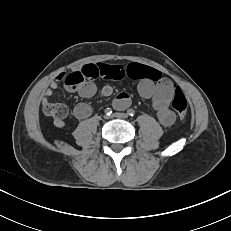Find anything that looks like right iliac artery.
I'll list each match as a JSON object with an SVG mask.
<instances>
[{"instance_id": "1", "label": "right iliac artery", "mask_w": 231, "mask_h": 231, "mask_svg": "<svg viewBox=\"0 0 231 231\" xmlns=\"http://www.w3.org/2000/svg\"><path fill=\"white\" fill-rule=\"evenodd\" d=\"M105 113H106L107 115H110V114L112 113V109H111V108H106V109H105Z\"/></svg>"}]
</instances>
